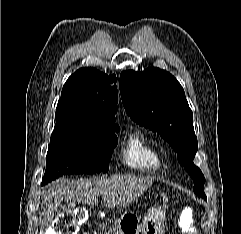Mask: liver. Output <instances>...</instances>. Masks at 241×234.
<instances>
[{"label": "liver", "mask_w": 241, "mask_h": 234, "mask_svg": "<svg viewBox=\"0 0 241 234\" xmlns=\"http://www.w3.org/2000/svg\"><path fill=\"white\" fill-rule=\"evenodd\" d=\"M152 183V179L132 174L83 179L72 183L57 181L42 194L43 219L40 234L53 223L55 212L66 211L75 202L94 205L101 195L106 207H127L151 187Z\"/></svg>", "instance_id": "1"}]
</instances>
